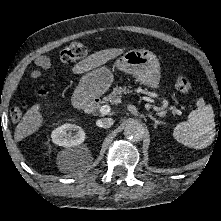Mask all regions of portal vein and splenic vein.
<instances>
[{"label": "portal vein and splenic vein", "mask_w": 221, "mask_h": 221, "mask_svg": "<svg viewBox=\"0 0 221 221\" xmlns=\"http://www.w3.org/2000/svg\"><path fill=\"white\" fill-rule=\"evenodd\" d=\"M143 99L146 100V101H151L150 98H148V97H143ZM110 110H111V107H110L109 105H103V106H101V108L99 109V112H100L101 115H107V114L110 112ZM173 110H174L178 115H181V114H182V112H181L179 109L175 108V107L173 108Z\"/></svg>", "instance_id": "obj_1"}]
</instances>
